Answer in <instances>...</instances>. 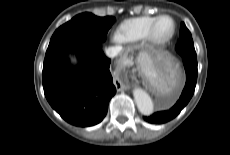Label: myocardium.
I'll return each instance as SVG.
<instances>
[{
    "label": "myocardium",
    "mask_w": 230,
    "mask_h": 155,
    "mask_svg": "<svg viewBox=\"0 0 230 155\" xmlns=\"http://www.w3.org/2000/svg\"><path fill=\"white\" fill-rule=\"evenodd\" d=\"M163 19H169L172 22V29H171V32L166 37L161 38L157 35L156 29L160 21ZM175 32H176L175 20L170 15H160L154 20V22L149 27L147 35H146V39L154 45L163 46L172 40V38L175 35Z\"/></svg>",
    "instance_id": "1"
}]
</instances>
